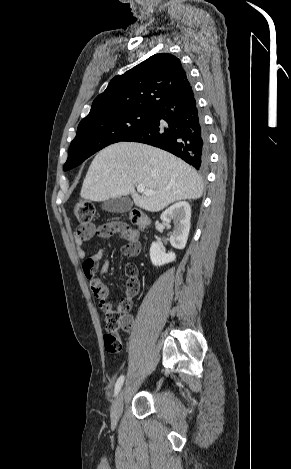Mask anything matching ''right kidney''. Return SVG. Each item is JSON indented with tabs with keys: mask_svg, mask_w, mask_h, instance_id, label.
Returning <instances> with one entry per match:
<instances>
[{
	"mask_svg": "<svg viewBox=\"0 0 291 469\" xmlns=\"http://www.w3.org/2000/svg\"><path fill=\"white\" fill-rule=\"evenodd\" d=\"M191 208L188 202L182 201L173 204L161 214V220L169 228L174 222V230L170 236V243L176 249H184L190 230ZM174 252L165 253L162 244L153 242L150 247V259L154 266H161L174 261Z\"/></svg>",
	"mask_w": 291,
	"mask_h": 469,
	"instance_id": "obj_1",
	"label": "right kidney"
}]
</instances>
